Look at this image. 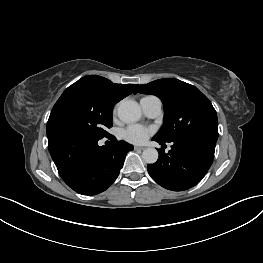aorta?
I'll list each match as a JSON object with an SVG mask.
<instances>
[{
    "instance_id": "obj_1",
    "label": "aorta",
    "mask_w": 263,
    "mask_h": 263,
    "mask_svg": "<svg viewBox=\"0 0 263 263\" xmlns=\"http://www.w3.org/2000/svg\"><path fill=\"white\" fill-rule=\"evenodd\" d=\"M117 114L121 121L133 123L140 119L141 108L136 101L123 100L119 103ZM158 151L155 148H147L143 151V160L148 164H154L158 160Z\"/></svg>"
}]
</instances>
